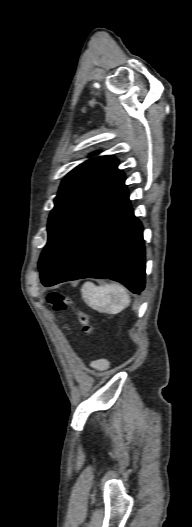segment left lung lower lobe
<instances>
[{
    "label": "left lung lower lobe",
    "instance_id": "1",
    "mask_svg": "<svg viewBox=\"0 0 192 527\" xmlns=\"http://www.w3.org/2000/svg\"><path fill=\"white\" fill-rule=\"evenodd\" d=\"M123 178L74 234L47 274L46 287L81 278H109L140 293L145 284L142 225Z\"/></svg>",
    "mask_w": 192,
    "mask_h": 527
}]
</instances>
